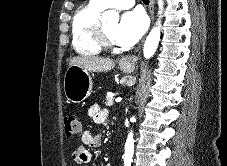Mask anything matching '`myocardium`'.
<instances>
[{"instance_id": "f54148a6", "label": "myocardium", "mask_w": 227, "mask_h": 166, "mask_svg": "<svg viewBox=\"0 0 227 166\" xmlns=\"http://www.w3.org/2000/svg\"><path fill=\"white\" fill-rule=\"evenodd\" d=\"M94 37L102 48L109 49L115 46L114 41L105 33L103 21L101 19H99L95 25Z\"/></svg>"}]
</instances>
